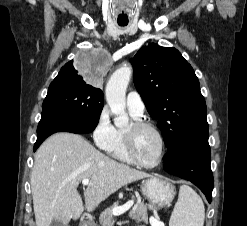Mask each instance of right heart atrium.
Returning <instances> with one entry per match:
<instances>
[{
  "label": "right heart atrium",
  "instance_id": "obj_1",
  "mask_svg": "<svg viewBox=\"0 0 247 226\" xmlns=\"http://www.w3.org/2000/svg\"><path fill=\"white\" fill-rule=\"evenodd\" d=\"M114 138L115 127L111 123L108 108L103 107L93 130V140L98 148L106 150L111 146Z\"/></svg>",
  "mask_w": 247,
  "mask_h": 226
}]
</instances>
